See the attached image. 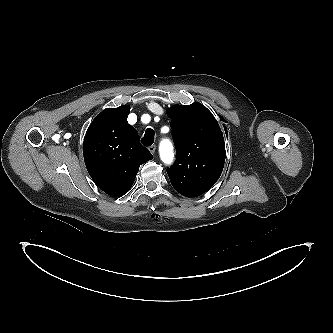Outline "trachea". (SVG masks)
I'll return each mask as SVG.
<instances>
[{"instance_id":"1","label":"trachea","mask_w":333,"mask_h":333,"mask_svg":"<svg viewBox=\"0 0 333 333\" xmlns=\"http://www.w3.org/2000/svg\"><path fill=\"white\" fill-rule=\"evenodd\" d=\"M141 142L143 145L145 146H151L154 142V131L151 128H148L145 131V134L143 136V138L141 139Z\"/></svg>"}]
</instances>
